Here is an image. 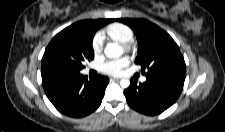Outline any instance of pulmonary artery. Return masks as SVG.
I'll list each match as a JSON object with an SVG mask.
<instances>
[{"mask_svg":"<svg viewBox=\"0 0 225 132\" xmlns=\"http://www.w3.org/2000/svg\"><path fill=\"white\" fill-rule=\"evenodd\" d=\"M145 81H146V77L145 76L141 77V82H145Z\"/></svg>","mask_w":225,"mask_h":132,"instance_id":"obj_1","label":"pulmonary artery"}]
</instances>
